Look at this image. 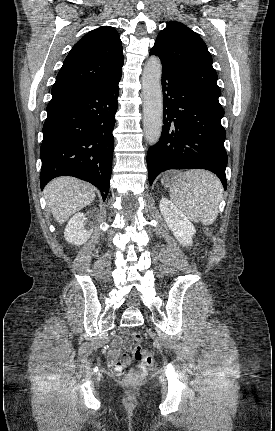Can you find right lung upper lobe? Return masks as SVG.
I'll list each match as a JSON object with an SVG mask.
<instances>
[{"instance_id":"1","label":"right lung upper lobe","mask_w":275,"mask_h":431,"mask_svg":"<svg viewBox=\"0 0 275 431\" xmlns=\"http://www.w3.org/2000/svg\"><path fill=\"white\" fill-rule=\"evenodd\" d=\"M123 48L114 27L102 26L83 36L71 49L52 96L107 85L122 75Z\"/></svg>"}]
</instances>
